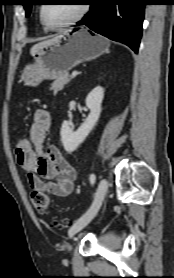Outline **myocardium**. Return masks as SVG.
Instances as JSON below:
<instances>
[{
    "label": "myocardium",
    "instance_id": "obj_1",
    "mask_svg": "<svg viewBox=\"0 0 174 278\" xmlns=\"http://www.w3.org/2000/svg\"><path fill=\"white\" fill-rule=\"evenodd\" d=\"M45 6L46 5H42L40 7V11H39V16H40V20L41 22L43 23V25L47 28V29H50V30H60V29H63L65 27H68L70 25H73L75 24L76 22H78L79 20H81L85 15L86 13L88 12V9H89V5L88 4H82L81 6V9L80 11L78 12V14L73 17L72 19H70L69 21L65 22V23H62L60 25H53L51 23H49L45 17V14H44V9H45Z\"/></svg>",
    "mask_w": 174,
    "mask_h": 278
}]
</instances>
